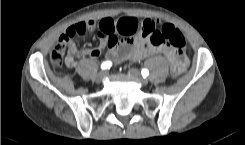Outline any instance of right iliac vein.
Segmentation results:
<instances>
[{"label": "right iliac vein", "instance_id": "1", "mask_svg": "<svg viewBox=\"0 0 245 145\" xmlns=\"http://www.w3.org/2000/svg\"><path fill=\"white\" fill-rule=\"evenodd\" d=\"M106 75H107V73H106V71H100L98 74H97V76H96V82L97 83H101L102 81H103V79L106 77Z\"/></svg>", "mask_w": 245, "mask_h": 145}]
</instances>
